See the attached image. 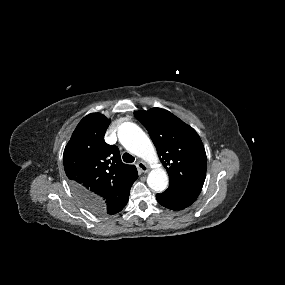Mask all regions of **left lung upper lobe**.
<instances>
[{"label":"left lung upper lobe","mask_w":285,"mask_h":285,"mask_svg":"<svg viewBox=\"0 0 285 285\" xmlns=\"http://www.w3.org/2000/svg\"><path fill=\"white\" fill-rule=\"evenodd\" d=\"M135 116L148 130L160 161L169 174L170 184L201 191L207 158L198 134L164 109L137 111Z\"/></svg>","instance_id":"5c2ea615"}]
</instances>
